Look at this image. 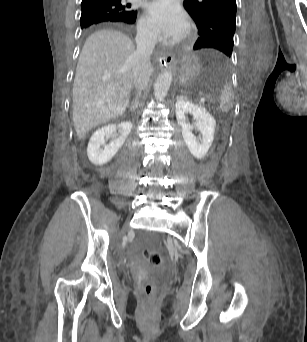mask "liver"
I'll list each match as a JSON object with an SVG mask.
<instances>
[{
  "mask_svg": "<svg viewBox=\"0 0 307 342\" xmlns=\"http://www.w3.org/2000/svg\"><path fill=\"white\" fill-rule=\"evenodd\" d=\"M134 52L132 40L116 30H99L87 38L73 84V122L79 140L128 108ZM103 74L111 76L102 78Z\"/></svg>",
  "mask_w": 307,
  "mask_h": 342,
  "instance_id": "6515ba94",
  "label": "liver"
}]
</instances>
